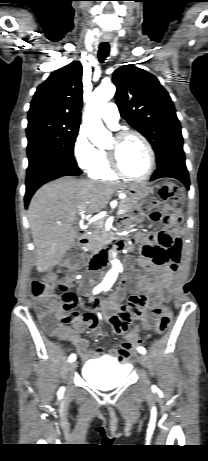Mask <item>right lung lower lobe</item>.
<instances>
[{
    "label": "right lung lower lobe",
    "mask_w": 208,
    "mask_h": 461,
    "mask_svg": "<svg viewBox=\"0 0 208 461\" xmlns=\"http://www.w3.org/2000/svg\"><path fill=\"white\" fill-rule=\"evenodd\" d=\"M81 170L77 165L70 164L66 160L59 158H47L39 161L27 169L25 207L34 192L43 184L62 176H77Z\"/></svg>",
    "instance_id": "obj_1"
}]
</instances>
